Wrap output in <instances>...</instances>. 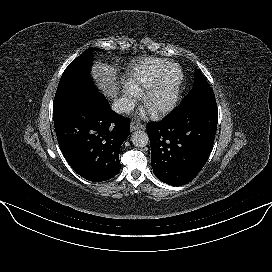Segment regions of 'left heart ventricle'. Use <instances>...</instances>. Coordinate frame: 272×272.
<instances>
[{"label":"left heart ventricle","instance_id":"obj_1","mask_svg":"<svg viewBox=\"0 0 272 272\" xmlns=\"http://www.w3.org/2000/svg\"><path fill=\"white\" fill-rule=\"evenodd\" d=\"M177 78V70L173 69L166 78L164 84L159 88V90L154 94L151 104L153 106L162 105L166 103L172 94L173 84Z\"/></svg>","mask_w":272,"mask_h":272}]
</instances>
